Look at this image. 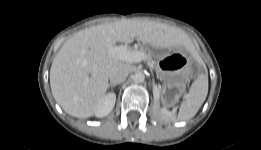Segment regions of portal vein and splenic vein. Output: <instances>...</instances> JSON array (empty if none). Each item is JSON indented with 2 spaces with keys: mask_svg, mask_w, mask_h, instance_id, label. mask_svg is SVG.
I'll list each match as a JSON object with an SVG mask.
<instances>
[{
  "mask_svg": "<svg viewBox=\"0 0 261 150\" xmlns=\"http://www.w3.org/2000/svg\"><path fill=\"white\" fill-rule=\"evenodd\" d=\"M108 52L112 57L126 62H141L147 59L144 52L138 50L129 51L126 45L111 47Z\"/></svg>",
  "mask_w": 261,
  "mask_h": 150,
  "instance_id": "1",
  "label": "portal vein and splenic vein"
}]
</instances>
